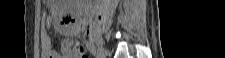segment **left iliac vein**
I'll use <instances>...</instances> for the list:
<instances>
[{
  "instance_id": "1",
  "label": "left iliac vein",
  "mask_w": 225,
  "mask_h": 58,
  "mask_svg": "<svg viewBox=\"0 0 225 58\" xmlns=\"http://www.w3.org/2000/svg\"><path fill=\"white\" fill-rule=\"evenodd\" d=\"M107 52L103 46L97 48V58H106Z\"/></svg>"
}]
</instances>
